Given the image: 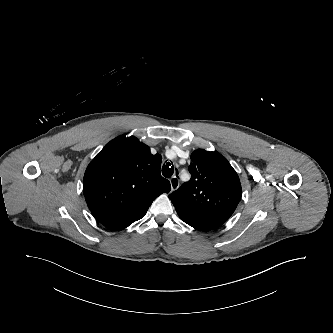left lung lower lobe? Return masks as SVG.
I'll return each mask as SVG.
<instances>
[{
	"label": "left lung lower lobe",
	"instance_id": "obj_1",
	"mask_svg": "<svg viewBox=\"0 0 333 333\" xmlns=\"http://www.w3.org/2000/svg\"><path fill=\"white\" fill-rule=\"evenodd\" d=\"M179 217L188 225L200 231H209L221 226L233 214V205H215L205 207L173 204Z\"/></svg>",
	"mask_w": 333,
	"mask_h": 333
}]
</instances>
